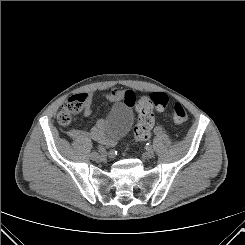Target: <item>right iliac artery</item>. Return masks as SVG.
Wrapping results in <instances>:
<instances>
[{
    "instance_id": "obj_1",
    "label": "right iliac artery",
    "mask_w": 245,
    "mask_h": 245,
    "mask_svg": "<svg viewBox=\"0 0 245 245\" xmlns=\"http://www.w3.org/2000/svg\"><path fill=\"white\" fill-rule=\"evenodd\" d=\"M99 154H101L102 156H107V151L104 149L103 146H99Z\"/></svg>"
}]
</instances>
